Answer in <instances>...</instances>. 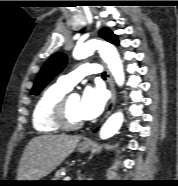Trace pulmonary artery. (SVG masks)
Here are the masks:
<instances>
[{"instance_id": "pulmonary-artery-1", "label": "pulmonary artery", "mask_w": 178, "mask_h": 186, "mask_svg": "<svg viewBox=\"0 0 178 186\" xmlns=\"http://www.w3.org/2000/svg\"><path fill=\"white\" fill-rule=\"evenodd\" d=\"M102 71L101 67L97 64H83L79 66L73 72L61 76L58 80V84L66 90H71L73 86L79 82L84 76L90 74H100Z\"/></svg>"}]
</instances>
